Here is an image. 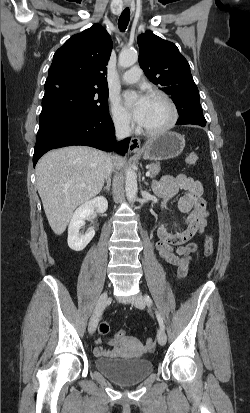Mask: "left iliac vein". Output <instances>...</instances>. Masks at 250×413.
<instances>
[{"label": "left iliac vein", "mask_w": 250, "mask_h": 413, "mask_svg": "<svg viewBox=\"0 0 250 413\" xmlns=\"http://www.w3.org/2000/svg\"><path fill=\"white\" fill-rule=\"evenodd\" d=\"M133 305L139 309H143L146 306V300L143 295L138 294L132 301ZM157 340L160 345H165L167 341V337L165 331L161 328L157 332Z\"/></svg>", "instance_id": "obj_1"}]
</instances>
